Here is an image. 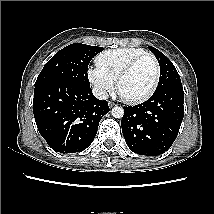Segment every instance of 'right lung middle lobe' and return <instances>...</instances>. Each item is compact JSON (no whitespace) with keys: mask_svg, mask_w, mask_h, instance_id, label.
<instances>
[{"mask_svg":"<svg viewBox=\"0 0 214 214\" xmlns=\"http://www.w3.org/2000/svg\"><path fill=\"white\" fill-rule=\"evenodd\" d=\"M101 51L103 47L81 43H74L61 49L45 64L35 86L54 80L90 86L87 75L88 65Z\"/></svg>","mask_w":214,"mask_h":214,"instance_id":"1","label":"right lung middle lobe"}]
</instances>
